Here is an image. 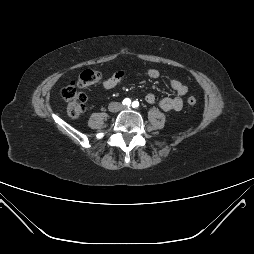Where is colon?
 I'll use <instances>...</instances> for the list:
<instances>
[{"label": "colon", "mask_w": 254, "mask_h": 254, "mask_svg": "<svg viewBox=\"0 0 254 254\" xmlns=\"http://www.w3.org/2000/svg\"><path fill=\"white\" fill-rule=\"evenodd\" d=\"M102 78V75L98 71L85 70L80 76L69 85H67L61 91V97L67 103V114L73 118H79L85 111L86 95L81 89L89 87ZM187 103L191 106L197 103V99L194 96L187 98Z\"/></svg>", "instance_id": "5ec220e1"}]
</instances>
